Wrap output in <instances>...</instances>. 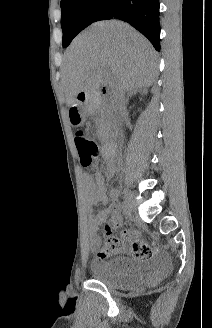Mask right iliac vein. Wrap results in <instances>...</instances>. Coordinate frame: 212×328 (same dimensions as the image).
<instances>
[{"label": "right iliac vein", "mask_w": 212, "mask_h": 328, "mask_svg": "<svg viewBox=\"0 0 212 328\" xmlns=\"http://www.w3.org/2000/svg\"><path fill=\"white\" fill-rule=\"evenodd\" d=\"M124 200L125 205L128 210H132L134 208V199L131 191L127 188L124 189Z\"/></svg>", "instance_id": "1"}]
</instances>
